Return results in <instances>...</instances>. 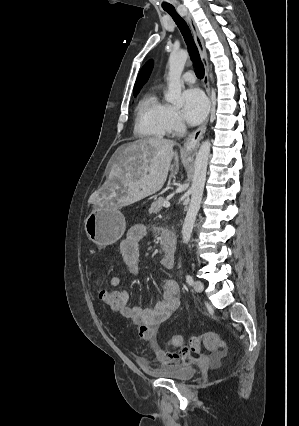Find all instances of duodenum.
<instances>
[{"label":"duodenum","instance_id":"1","mask_svg":"<svg viewBox=\"0 0 299 426\" xmlns=\"http://www.w3.org/2000/svg\"><path fill=\"white\" fill-rule=\"evenodd\" d=\"M161 247L167 257L174 258L176 252V238L171 231L165 230L162 232Z\"/></svg>","mask_w":299,"mask_h":426}]
</instances>
